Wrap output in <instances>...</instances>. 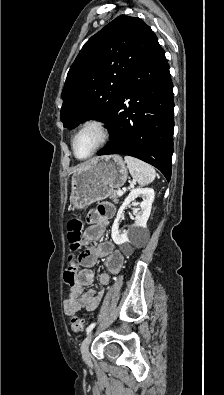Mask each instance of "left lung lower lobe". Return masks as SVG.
<instances>
[{"label":"left lung lower lobe","instance_id":"0a47b994","mask_svg":"<svg viewBox=\"0 0 224 395\" xmlns=\"http://www.w3.org/2000/svg\"><path fill=\"white\" fill-rule=\"evenodd\" d=\"M173 84L157 42L131 73L107 122L109 143L98 153L125 154L171 178L174 128Z\"/></svg>","mask_w":224,"mask_h":395}]
</instances>
